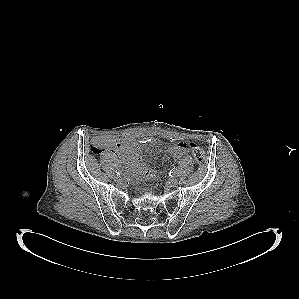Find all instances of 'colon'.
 Returning a JSON list of instances; mask_svg holds the SVG:
<instances>
[{
    "mask_svg": "<svg viewBox=\"0 0 299 299\" xmlns=\"http://www.w3.org/2000/svg\"><path fill=\"white\" fill-rule=\"evenodd\" d=\"M107 141H108V138H105V137H97L93 140L92 142V145H91V151L94 153V154H100L105 146L107 145ZM190 149H191V153H192V156L194 158V160L199 164H203V162L205 161V152L204 150L194 144V143H188Z\"/></svg>",
    "mask_w": 299,
    "mask_h": 299,
    "instance_id": "1",
    "label": "colon"
}]
</instances>
